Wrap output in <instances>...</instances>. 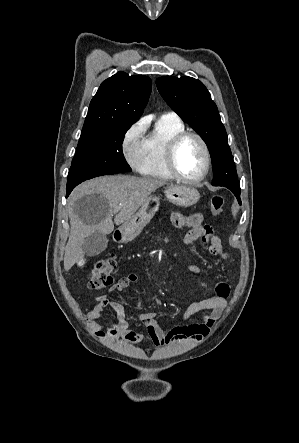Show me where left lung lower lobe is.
Here are the masks:
<instances>
[{"instance_id": "0a47b994", "label": "left lung lower lobe", "mask_w": 299, "mask_h": 443, "mask_svg": "<svg viewBox=\"0 0 299 443\" xmlns=\"http://www.w3.org/2000/svg\"><path fill=\"white\" fill-rule=\"evenodd\" d=\"M224 187L230 189V190L234 193V195L236 196L238 202L241 204V199H240V189L232 188V187H228V186H224Z\"/></svg>"}]
</instances>
